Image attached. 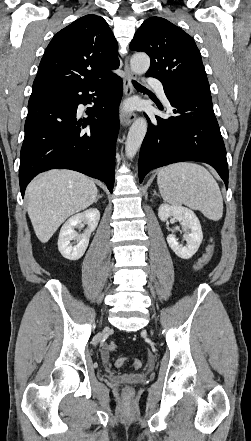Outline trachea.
Wrapping results in <instances>:
<instances>
[{
	"instance_id": "3493384b",
	"label": "trachea",
	"mask_w": 251,
	"mask_h": 441,
	"mask_svg": "<svg viewBox=\"0 0 251 441\" xmlns=\"http://www.w3.org/2000/svg\"><path fill=\"white\" fill-rule=\"evenodd\" d=\"M135 87L138 88H144L143 86H141L139 83H137L136 81H132Z\"/></svg>"
}]
</instances>
